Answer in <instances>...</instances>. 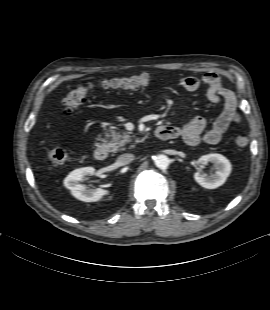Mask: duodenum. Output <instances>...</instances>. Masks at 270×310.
Here are the masks:
<instances>
[{"mask_svg": "<svg viewBox=\"0 0 270 310\" xmlns=\"http://www.w3.org/2000/svg\"><path fill=\"white\" fill-rule=\"evenodd\" d=\"M156 136L161 140L172 139L171 133L164 126L157 129ZM94 156L97 160H105L108 157L107 146L104 144H98L94 150Z\"/></svg>", "mask_w": 270, "mask_h": 310, "instance_id": "duodenum-1", "label": "duodenum"}]
</instances>
